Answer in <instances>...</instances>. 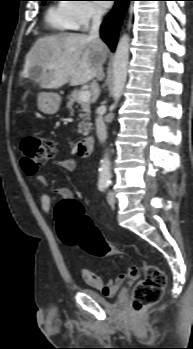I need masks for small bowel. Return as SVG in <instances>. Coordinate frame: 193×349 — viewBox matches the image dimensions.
<instances>
[{
  "instance_id": "1",
  "label": "small bowel",
  "mask_w": 193,
  "mask_h": 349,
  "mask_svg": "<svg viewBox=\"0 0 193 349\" xmlns=\"http://www.w3.org/2000/svg\"><path fill=\"white\" fill-rule=\"evenodd\" d=\"M55 163L66 171H73L76 167V162L72 157H65L64 159L56 161ZM21 164L27 175L34 177L35 180L41 185H47L46 177L43 174H40L38 169H33L32 166L29 163H26L24 159H22ZM56 193L64 200H71L72 198V192L67 187H58L56 189ZM40 205L44 213L49 214L51 212L52 199L49 194H41ZM82 274L85 282L88 285L100 289L106 294H113L126 279H137L139 276V270L137 267L131 266L125 272L120 273L116 278L109 280L108 282H105L99 275L87 269L83 270Z\"/></svg>"
}]
</instances>
